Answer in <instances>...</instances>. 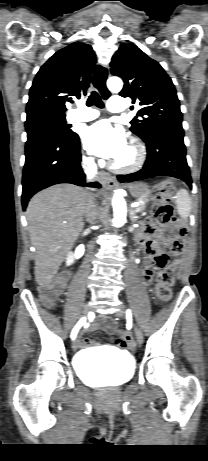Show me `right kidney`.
I'll use <instances>...</instances> for the list:
<instances>
[{"label": "right kidney", "instance_id": "obj_1", "mask_svg": "<svg viewBox=\"0 0 208 461\" xmlns=\"http://www.w3.org/2000/svg\"><path fill=\"white\" fill-rule=\"evenodd\" d=\"M83 253H84V246H83V245L78 246V247L76 248L75 253L69 252V253L67 254V257H66V265H67V266H70V265L74 262L75 256H76L77 254L83 255Z\"/></svg>", "mask_w": 208, "mask_h": 461}]
</instances>
